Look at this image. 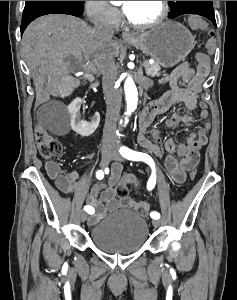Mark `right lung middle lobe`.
Wrapping results in <instances>:
<instances>
[{
    "mask_svg": "<svg viewBox=\"0 0 237 300\" xmlns=\"http://www.w3.org/2000/svg\"><path fill=\"white\" fill-rule=\"evenodd\" d=\"M84 1H26L22 19L29 18L40 11L57 7L83 6Z\"/></svg>",
    "mask_w": 237,
    "mask_h": 300,
    "instance_id": "obj_1",
    "label": "right lung middle lobe"
}]
</instances>
